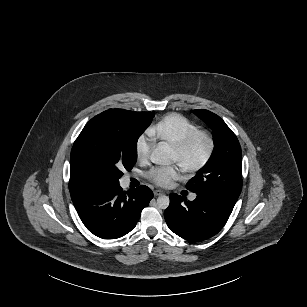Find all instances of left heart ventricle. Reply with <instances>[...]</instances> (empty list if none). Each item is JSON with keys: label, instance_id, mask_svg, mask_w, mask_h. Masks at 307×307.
Here are the masks:
<instances>
[{"label": "left heart ventricle", "instance_id": "obj_1", "mask_svg": "<svg viewBox=\"0 0 307 307\" xmlns=\"http://www.w3.org/2000/svg\"><path fill=\"white\" fill-rule=\"evenodd\" d=\"M203 145L198 144L196 145L187 155L186 158H181L177 154H175L172 150L170 151L167 161L168 163L171 162H178L179 164H184V163H194L196 162L202 155L203 153Z\"/></svg>", "mask_w": 307, "mask_h": 307}]
</instances>
